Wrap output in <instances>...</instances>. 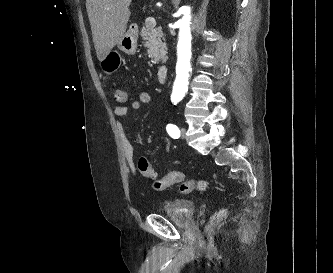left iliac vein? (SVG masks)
Segmentation results:
<instances>
[{
  "mask_svg": "<svg viewBox=\"0 0 333 273\" xmlns=\"http://www.w3.org/2000/svg\"><path fill=\"white\" fill-rule=\"evenodd\" d=\"M181 136L183 137V138H186V129L185 128H181Z\"/></svg>",
  "mask_w": 333,
  "mask_h": 273,
  "instance_id": "obj_1",
  "label": "left iliac vein"
}]
</instances>
